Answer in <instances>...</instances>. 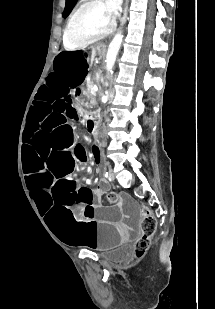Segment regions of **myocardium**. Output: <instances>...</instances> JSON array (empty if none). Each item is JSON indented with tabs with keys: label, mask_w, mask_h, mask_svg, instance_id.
I'll use <instances>...</instances> for the list:
<instances>
[{
	"label": "myocardium",
	"mask_w": 215,
	"mask_h": 309,
	"mask_svg": "<svg viewBox=\"0 0 215 309\" xmlns=\"http://www.w3.org/2000/svg\"><path fill=\"white\" fill-rule=\"evenodd\" d=\"M95 7L94 5H84L76 9L72 14V19H68L64 31L63 39L64 43H72L73 48H88L92 46L94 43H99L100 38H107L108 34H114L115 32V20L109 19L108 23H106L105 27H93V30L90 31V38L89 39H80L77 35V30L81 26L77 24L76 20H81L82 16L79 15L81 12ZM97 7L104 8L103 5H98ZM79 23V22H78ZM72 30V31H70ZM74 30V31H73ZM84 42V43H83Z\"/></svg>",
	"instance_id": "obj_1"
}]
</instances>
